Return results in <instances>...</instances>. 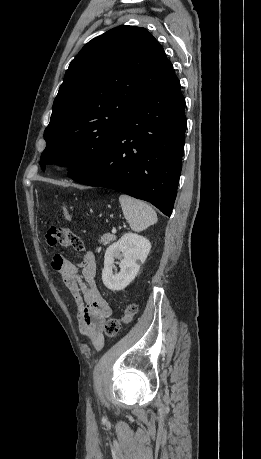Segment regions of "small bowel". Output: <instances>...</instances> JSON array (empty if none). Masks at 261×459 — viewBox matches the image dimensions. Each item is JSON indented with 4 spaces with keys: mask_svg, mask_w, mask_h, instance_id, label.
I'll return each mask as SVG.
<instances>
[{
    "mask_svg": "<svg viewBox=\"0 0 261 459\" xmlns=\"http://www.w3.org/2000/svg\"><path fill=\"white\" fill-rule=\"evenodd\" d=\"M45 238L50 246L60 243L81 253L78 264L57 253L53 256L52 267L61 275L63 283L75 299L80 332L90 340L93 348L99 351L104 344L103 326L106 319L111 316L112 309L97 287L94 255L86 250L81 239L68 229L50 228Z\"/></svg>",
    "mask_w": 261,
    "mask_h": 459,
    "instance_id": "c3829d8e",
    "label": "small bowel"
}]
</instances>
